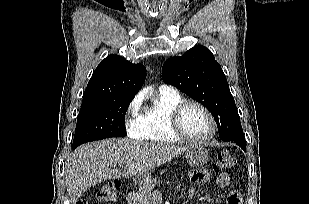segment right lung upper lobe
Masks as SVG:
<instances>
[{"label":"right lung upper lobe","mask_w":309,"mask_h":204,"mask_svg":"<svg viewBox=\"0 0 309 204\" xmlns=\"http://www.w3.org/2000/svg\"><path fill=\"white\" fill-rule=\"evenodd\" d=\"M146 78L142 64L109 55L97 66L83 95L82 104L109 98H134Z\"/></svg>","instance_id":"cb5924a9"}]
</instances>
